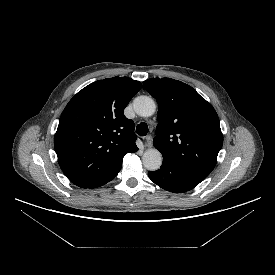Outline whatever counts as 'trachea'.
Returning a JSON list of instances; mask_svg holds the SVG:
<instances>
[{
	"mask_svg": "<svg viewBox=\"0 0 275 275\" xmlns=\"http://www.w3.org/2000/svg\"><path fill=\"white\" fill-rule=\"evenodd\" d=\"M148 126L146 123L141 122L140 124L137 125L136 127V133L140 136H146L148 133Z\"/></svg>",
	"mask_w": 275,
	"mask_h": 275,
	"instance_id": "3493384b",
	"label": "trachea"
}]
</instances>
